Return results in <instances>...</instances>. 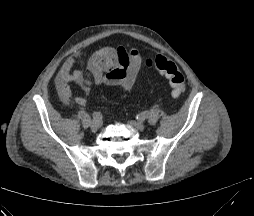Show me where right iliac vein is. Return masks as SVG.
<instances>
[{
	"mask_svg": "<svg viewBox=\"0 0 254 216\" xmlns=\"http://www.w3.org/2000/svg\"><path fill=\"white\" fill-rule=\"evenodd\" d=\"M90 128L93 132H96L100 128V123L96 121H92L90 123Z\"/></svg>",
	"mask_w": 254,
	"mask_h": 216,
	"instance_id": "right-iliac-vein-1",
	"label": "right iliac vein"
}]
</instances>
